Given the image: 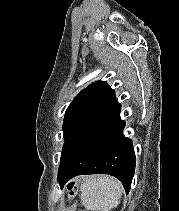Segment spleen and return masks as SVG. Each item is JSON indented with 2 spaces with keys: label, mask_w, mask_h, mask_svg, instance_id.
Returning a JSON list of instances; mask_svg holds the SVG:
<instances>
[{
  "label": "spleen",
  "mask_w": 179,
  "mask_h": 211,
  "mask_svg": "<svg viewBox=\"0 0 179 211\" xmlns=\"http://www.w3.org/2000/svg\"><path fill=\"white\" fill-rule=\"evenodd\" d=\"M82 203L88 210L110 211L120 203L123 186L106 175L85 177L80 186Z\"/></svg>",
  "instance_id": "obj_1"
}]
</instances>
